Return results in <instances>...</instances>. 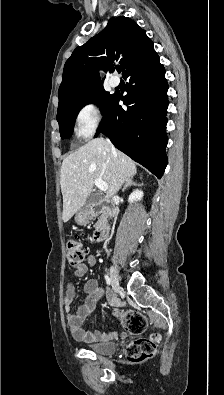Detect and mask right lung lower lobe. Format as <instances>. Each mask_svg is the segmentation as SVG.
<instances>
[{
	"label": "right lung lower lobe",
	"instance_id": "obj_1",
	"mask_svg": "<svg viewBox=\"0 0 224 395\" xmlns=\"http://www.w3.org/2000/svg\"><path fill=\"white\" fill-rule=\"evenodd\" d=\"M123 77L129 79L127 95L114 94L96 136L104 133L116 148L161 178L167 165L168 85L154 48L134 62ZM120 100L126 109L118 105Z\"/></svg>",
	"mask_w": 224,
	"mask_h": 395
}]
</instances>
